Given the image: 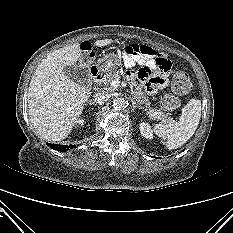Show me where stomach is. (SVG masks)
<instances>
[{
  "mask_svg": "<svg viewBox=\"0 0 233 233\" xmlns=\"http://www.w3.org/2000/svg\"><path fill=\"white\" fill-rule=\"evenodd\" d=\"M121 64V57L117 55H107L97 61L96 66L104 73L114 72Z\"/></svg>",
  "mask_w": 233,
  "mask_h": 233,
  "instance_id": "obj_1",
  "label": "stomach"
}]
</instances>
